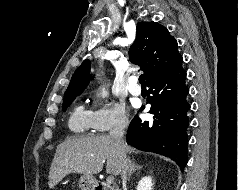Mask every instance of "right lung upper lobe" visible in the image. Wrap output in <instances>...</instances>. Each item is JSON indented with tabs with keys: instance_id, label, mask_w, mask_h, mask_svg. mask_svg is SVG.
<instances>
[{
	"instance_id": "right-lung-upper-lobe-1",
	"label": "right lung upper lobe",
	"mask_w": 238,
	"mask_h": 190,
	"mask_svg": "<svg viewBox=\"0 0 238 190\" xmlns=\"http://www.w3.org/2000/svg\"><path fill=\"white\" fill-rule=\"evenodd\" d=\"M177 41L167 28L156 22L137 24L136 39L129 49L130 61L141 67L150 81L173 67L182 56ZM90 61L84 60L74 72L65 95L81 93L89 83Z\"/></svg>"
}]
</instances>
